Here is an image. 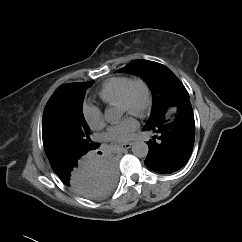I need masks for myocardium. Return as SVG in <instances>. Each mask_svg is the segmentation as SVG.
Instances as JSON below:
<instances>
[{"label":"myocardium","instance_id":"1","mask_svg":"<svg viewBox=\"0 0 242 242\" xmlns=\"http://www.w3.org/2000/svg\"><path fill=\"white\" fill-rule=\"evenodd\" d=\"M136 87H141L144 91V101L140 106H132V93ZM153 103L152 90L149 83L143 78H135L125 88L122 97L119 101V105L127 107L129 113L138 116L145 117L149 114Z\"/></svg>","mask_w":242,"mask_h":242}]
</instances>
